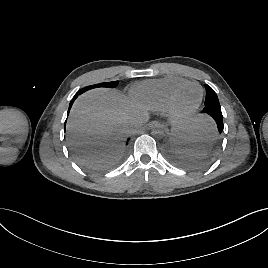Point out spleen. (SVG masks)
I'll use <instances>...</instances> for the list:
<instances>
[{
    "label": "spleen",
    "instance_id": "3e777b00",
    "mask_svg": "<svg viewBox=\"0 0 268 268\" xmlns=\"http://www.w3.org/2000/svg\"><path fill=\"white\" fill-rule=\"evenodd\" d=\"M188 147H179L180 153L188 156L201 155L205 152L206 147L214 144L219 136V131L216 126L212 125L209 117L200 115L195 118Z\"/></svg>",
    "mask_w": 268,
    "mask_h": 268
}]
</instances>
